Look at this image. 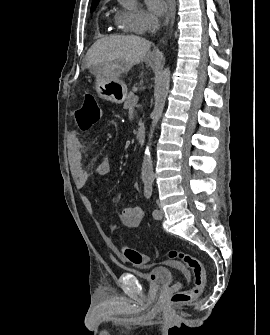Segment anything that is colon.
<instances>
[{"label":"colon","mask_w":270,"mask_h":335,"mask_svg":"<svg viewBox=\"0 0 270 335\" xmlns=\"http://www.w3.org/2000/svg\"><path fill=\"white\" fill-rule=\"evenodd\" d=\"M101 115L102 110L98 99L90 94L85 95L80 109L74 111V116L77 117L82 132H88L94 127L100 121ZM118 254L127 262L138 267L146 266L150 260L148 255L141 254L129 247H120ZM169 256L173 259H179V262H175L174 266L186 267L191 272L193 281L188 291L173 294L170 298L171 303H186L198 298L206 285V274L202 262L195 255L184 250H171Z\"/></svg>","instance_id":"5ec220e1"}]
</instances>
